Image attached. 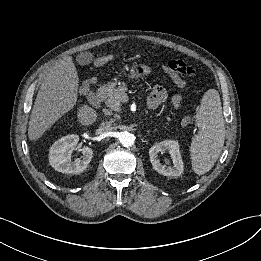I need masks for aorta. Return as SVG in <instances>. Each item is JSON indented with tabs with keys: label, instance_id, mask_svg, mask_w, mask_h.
Here are the masks:
<instances>
[{
	"label": "aorta",
	"instance_id": "aorta-1",
	"mask_svg": "<svg viewBox=\"0 0 261 261\" xmlns=\"http://www.w3.org/2000/svg\"><path fill=\"white\" fill-rule=\"evenodd\" d=\"M119 141L124 147H129L134 144L135 139L133 134L125 131L119 134Z\"/></svg>",
	"mask_w": 261,
	"mask_h": 261
}]
</instances>
